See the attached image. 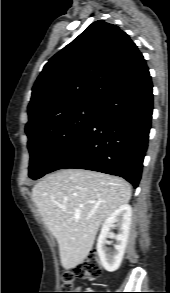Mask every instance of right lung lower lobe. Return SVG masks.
<instances>
[{"mask_svg": "<svg viewBox=\"0 0 170 293\" xmlns=\"http://www.w3.org/2000/svg\"><path fill=\"white\" fill-rule=\"evenodd\" d=\"M152 87L147 72L109 95L87 130L54 161L48 173L87 169L123 177L137 187L151 128Z\"/></svg>", "mask_w": 170, "mask_h": 293, "instance_id": "right-lung-lower-lobe-1", "label": "right lung lower lobe"}]
</instances>
